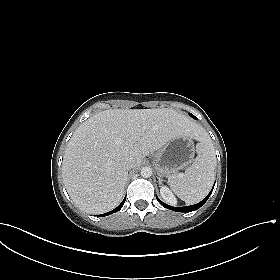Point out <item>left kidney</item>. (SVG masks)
<instances>
[{
	"mask_svg": "<svg viewBox=\"0 0 280 280\" xmlns=\"http://www.w3.org/2000/svg\"><path fill=\"white\" fill-rule=\"evenodd\" d=\"M160 194H161V197L168 203H170L172 205H175L177 203L175 196L173 195L172 191L167 186H162L160 188Z\"/></svg>",
	"mask_w": 280,
	"mask_h": 280,
	"instance_id": "1",
	"label": "left kidney"
}]
</instances>
